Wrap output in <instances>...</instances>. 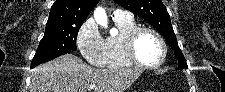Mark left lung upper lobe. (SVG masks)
<instances>
[{"mask_svg": "<svg viewBox=\"0 0 225 92\" xmlns=\"http://www.w3.org/2000/svg\"><path fill=\"white\" fill-rule=\"evenodd\" d=\"M114 1L123 8L139 15L155 27L159 33L165 37L168 45L174 50L175 57L179 62V68H188L184 55L178 46L173 27L171 25L170 16L161 0Z\"/></svg>", "mask_w": 225, "mask_h": 92, "instance_id": "5c2ea615", "label": "left lung upper lobe"}]
</instances>
